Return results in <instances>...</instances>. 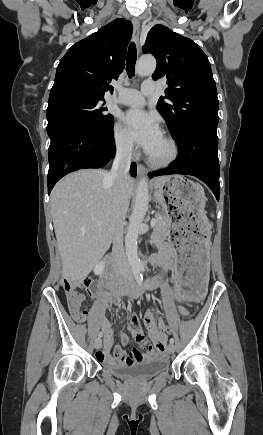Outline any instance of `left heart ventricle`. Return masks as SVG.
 I'll list each match as a JSON object with an SVG mask.
<instances>
[{
  "label": "left heart ventricle",
  "mask_w": 263,
  "mask_h": 435,
  "mask_svg": "<svg viewBox=\"0 0 263 435\" xmlns=\"http://www.w3.org/2000/svg\"><path fill=\"white\" fill-rule=\"evenodd\" d=\"M171 153L169 143L162 137L158 145L150 153L155 159L162 160L167 158Z\"/></svg>",
  "instance_id": "1"
}]
</instances>
